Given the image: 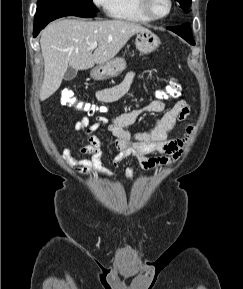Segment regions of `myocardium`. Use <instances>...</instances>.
Wrapping results in <instances>:
<instances>
[{
	"label": "myocardium",
	"instance_id": "1",
	"mask_svg": "<svg viewBox=\"0 0 243 289\" xmlns=\"http://www.w3.org/2000/svg\"><path fill=\"white\" fill-rule=\"evenodd\" d=\"M140 10L152 20H161L168 17L173 10V0H168L169 9L164 15H155L150 8V0H138Z\"/></svg>",
	"mask_w": 243,
	"mask_h": 289
}]
</instances>
